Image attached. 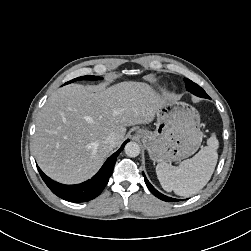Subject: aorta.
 I'll list each match as a JSON object with an SVG mask.
<instances>
[{"label":"aorta","instance_id":"762f6f07","mask_svg":"<svg viewBox=\"0 0 251 251\" xmlns=\"http://www.w3.org/2000/svg\"><path fill=\"white\" fill-rule=\"evenodd\" d=\"M125 154L129 157H137L140 154V147L136 142H128L124 148Z\"/></svg>","mask_w":251,"mask_h":251}]
</instances>
